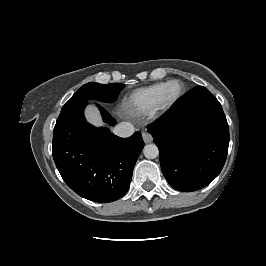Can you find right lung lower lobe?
<instances>
[{
  "instance_id": "98d812e1",
  "label": "right lung lower lobe",
  "mask_w": 266,
  "mask_h": 266,
  "mask_svg": "<svg viewBox=\"0 0 266 266\" xmlns=\"http://www.w3.org/2000/svg\"><path fill=\"white\" fill-rule=\"evenodd\" d=\"M86 103L58 118L53 131V159L66 184L88 200L107 203L123 197L144 142L139 132L119 138L108 128H96L85 120ZM103 120L116 121L99 104Z\"/></svg>"
}]
</instances>
